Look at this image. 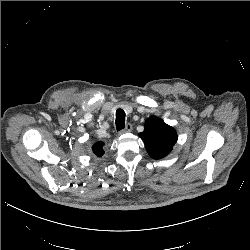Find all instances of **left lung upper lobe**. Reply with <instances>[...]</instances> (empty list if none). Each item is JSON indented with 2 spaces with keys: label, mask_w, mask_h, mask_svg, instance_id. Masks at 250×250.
I'll list each match as a JSON object with an SVG mask.
<instances>
[{
  "label": "left lung upper lobe",
  "mask_w": 250,
  "mask_h": 250,
  "mask_svg": "<svg viewBox=\"0 0 250 250\" xmlns=\"http://www.w3.org/2000/svg\"><path fill=\"white\" fill-rule=\"evenodd\" d=\"M147 152L154 159L167 156L177 142L175 129L156 116L149 117L144 125V131L139 134Z\"/></svg>",
  "instance_id": "5c2ea615"
}]
</instances>
